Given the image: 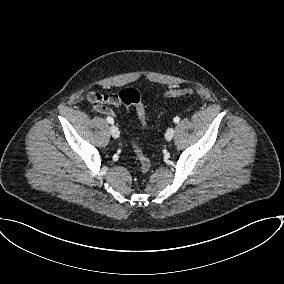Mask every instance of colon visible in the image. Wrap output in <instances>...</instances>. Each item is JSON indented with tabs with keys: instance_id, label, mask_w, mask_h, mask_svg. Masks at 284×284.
Instances as JSON below:
<instances>
[{
	"instance_id": "1",
	"label": "colon",
	"mask_w": 284,
	"mask_h": 284,
	"mask_svg": "<svg viewBox=\"0 0 284 284\" xmlns=\"http://www.w3.org/2000/svg\"><path fill=\"white\" fill-rule=\"evenodd\" d=\"M193 91L188 88H182V89H173L168 91L165 94L166 98H173V97H179L184 95H190ZM119 99L121 103L128 107V106H134L138 119L141 123V125L145 128L146 127V114L144 105L141 101V96L139 92L134 88H126L119 92L118 94ZM133 151L140 163V168L143 173H146L149 171L151 167V161L150 159L142 152L140 147L136 143H132Z\"/></svg>"
}]
</instances>
